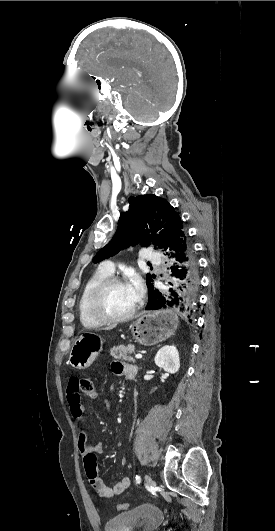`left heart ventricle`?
I'll return each instance as SVG.
<instances>
[{
    "label": "left heart ventricle",
    "instance_id": "b2bd125f",
    "mask_svg": "<svg viewBox=\"0 0 275 531\" xmlns=\"http://www.w3.org/2000/svg\"><path fill=\"white\" fill-rule=\"evenodd\" d=\"M136 300L128 282L122 281L106 290L100 306L105 313L111 316H122L131 310Z\"/></svg>",
    "mask_w": 275,
    "mask_h": 531
}]
</instances>
